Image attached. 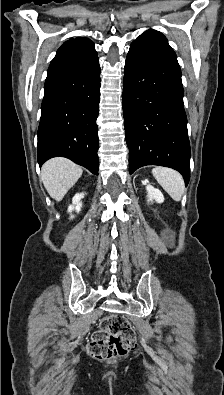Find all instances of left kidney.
I'll return each mask as SVG.
<instances>
[{
    "mask_svg": "<svg viewBox=\"0 0 224 395\" xmlns=\"http://www.w3.org/2000/svg\"><path fill=\"white\" fill-rule=\"evenodd\" d=\"M148 201H156L157 203L164 202V196L159 189L154 188L152 185H146Z\"/></svg>",
    "mask_w": 224,
    "mask_h": 395,
    "instance_id": "1",
    "label": "left kidney"
}]
</instances>
